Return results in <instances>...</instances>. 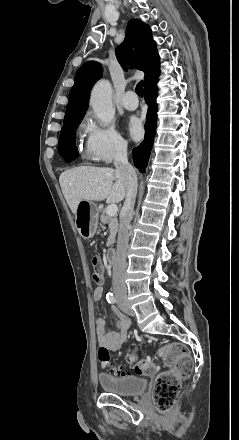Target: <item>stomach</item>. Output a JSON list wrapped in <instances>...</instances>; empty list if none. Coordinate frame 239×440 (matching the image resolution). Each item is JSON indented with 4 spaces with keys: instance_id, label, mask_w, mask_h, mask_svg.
<instances>
[{
    "instance_id": "1",
    "label": "stomach",
    "mask_w": 239,
    "mask_h": 440,
    "mask_svg": "<svg viewBox=\"0 0 239 440\" xmlns=\"http://www.w3.org/2000/svg\"><path fill=\"white\" fill-rule=\"evenodd\" d=\"M99 208L93 200L79 202L75 214V228L84 240L93 238L98 228Z\"/></svg>"
}]
</instances>
